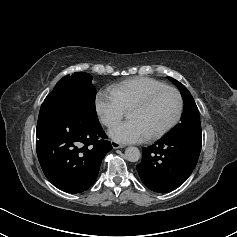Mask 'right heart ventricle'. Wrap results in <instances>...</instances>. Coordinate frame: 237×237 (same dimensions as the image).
Wrapping results in <instances>:
<instances>
[{"label": "right heart ventricle", "instance_id": "right-heart-ventricle-1", "mask_svg": "<svg viewBox=\"0 0 237 237\" xmlns=\"http://www.w3.org/2000/svg\"><path fill=\"white\" fill-rule=\"evenodd\" d=\"M165 86V83L152 78L134 77L112 86L111 89L118 95L124 108H130L149 92Z\"/></svg>", "mask_w": 237, "mask_h": 237}]
</instances>
